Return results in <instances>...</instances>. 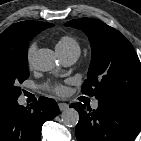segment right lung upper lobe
Wrapping results in <instances>:
<instances>
[{"label": "right lung upper lobe", "instance_id": "1", "mask_svg": "<svg viewBox=\"0 0 141 141\" xmlns=\"http://www.w3.org/2000/svg\"><path fill=\"white\" fill-rule=\"evenodd\" d=\"M53 24L40 21H23L11 25L0 35V47H17L29 37L36 36L42 30L52 27Z\"/></svg>", "mask_w": 141, "mask_h": 141}]
</instances>
